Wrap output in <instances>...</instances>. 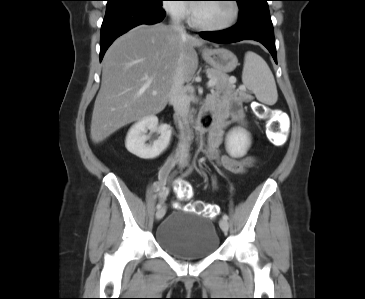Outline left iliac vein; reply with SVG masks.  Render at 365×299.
I'll return each mask as SVG.
<instances>
[{"label":"left iliac vein","mask_w":365,"mask_h":299,"mask_svg":"<svg viewBox=\"0 0 365 299\" xmlns=\"http://www.w3.org/2000/svg\"><path fill=\"white\" fill-rule=\"evenodd\" d=\"M219 225H220V228L223 232H227L228 229H229V224H228V221L225 220V219H221L220 222H219Z\"/></svg>","instance_id":"obj_1"}]
</instances>
